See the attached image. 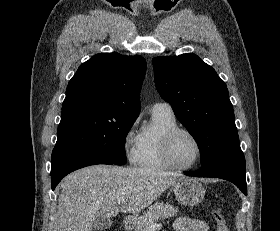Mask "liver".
I'll return each instance as SVG.
<instances>
[{
    "label": "liver",
    "mask_w": 280,
    "mask_h": 231,
    "mask_svg": "<svg viewBox=\"0 0 280 231\" xmlns=\"http://www.w3.org/2000/svg\"><path fill=\"white\" fill-rule=\"evenodd\" d=\"M179 173H156L142 167L89 165L62 179L58 219L54 231H92L99 215L114 217L119 211L139 215ZM125 199L123 205L118 199Z\"/></svg>",
    "instance_id": "liver-1"
}]
</instances>
